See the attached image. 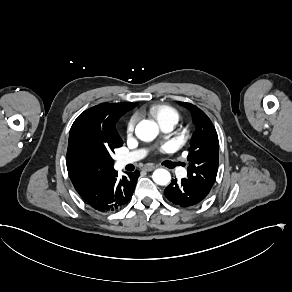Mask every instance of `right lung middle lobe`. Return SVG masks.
<instances>
[{
    "label": "right lung middle lobe",
    "mask_w": 292,
    "mask_h": 292,
    "mask_svg": "<svg viewBox=\"0 0 292 292\" xmlns=\"http://www.w3.org/2000/svg\"><path fill=\"white\" fill-rule=\"evenodd\" d=\"M122 145V141L110 142L105 139L75 134L68 140L67 169L84 168L95 172L104 167L113 166L111 153Z\"/></svg>",
    "instance_id": "obj_1"
}]
</instances>
